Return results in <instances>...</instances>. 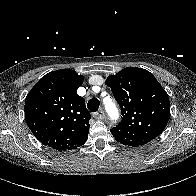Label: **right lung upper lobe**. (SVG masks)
<instances>
[{
    "label": "right lung upper lobe",
    "mask_w": 196,
    "mask_h": 196,
    "mask_svg": "<svg viewBox=\"0 0 196 196\" xmlns=\"http://www.w3.org/2000/svg\"><path fill=\"white\" fill-rule=\"evenodd\" d=\"M83 76L61 69L42 77L25 99V120L34 136L58 151L82 146L91 115L77 94Z\"/></svg>",
    "instance_id": "cb5924a9"
}]
</instances>
